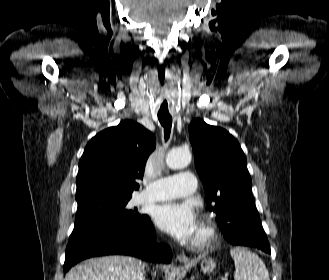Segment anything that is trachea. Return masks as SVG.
I'll use <instances>...</instances> for the list:
<instances>
[{
  "label": "trachea",
  "mask_w": 329,
  "mask_h": 280,
  "mask_svg": "<svg viewBox=\"0 0 329 280\" xmlns=\"http://www.w3.org/2000/svg\"><path fill=\"white\" fill-rule=\"evenodd\" d=\"M158 119L164 128V138L167 141L170 137L172 127V116L170 114L159 113Z\"/></svg>",
  "instance_id": "trachea-1"
}]
</instances>
